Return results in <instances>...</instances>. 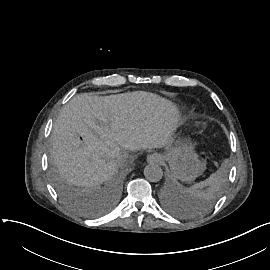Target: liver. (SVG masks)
I'll list each match as a JSON object with an SVG mask.
<instances>
[{"instance_id": "obj_1", "label": "liver", "mask_w": 270, "mask_h": 270, "mask_svg": "<svg viewBox=\"0 0 270 270\" xmlns=\"http://www.w3.org/2000/svg\"><path fill=\"white\" fill-rule=\"evenodd\" d=\"M174 108L173 102L145 91L78 94L53 124L51 161L68 183L97 188L112 179L129 152L172 143L178 124L164 117Z\"/></svg>"}]
</instances>
